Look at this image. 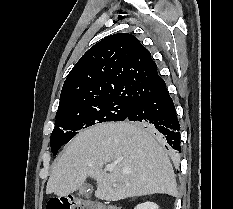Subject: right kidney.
Returning a JSON list of instances; mask_svg holds the SVG:
<instances>
[{
	"instance_id": "right-kidney-1",
	"label": "right kidney",
	"mask_w": 233,
	"mask_h": 209,
	"mask_svg": "<svg viewBox=\"0 0 233 209\" xmlns=\"http://www.w3.org/2000/svg\"><path fill=\"white\" fill-rule=\"evenodd\" d=\"M135 209H159V207L156 203L148 201L138 204Z\"/></svg>"
}]
</instances>
